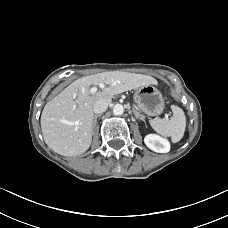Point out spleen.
<instances>
[{
    "mask_svg": "<svg viewBox=\"0 0 228 228\" xmlns=\"http://www.w3.org/2000/svg\"><path fill=\"white\" fill-rule=\"evenodd\" d=\"M173 116L170 119H156L151 122V127L164 137H171L172 142H178L182 139L185 127L186 118L183 110L173 105Z\"/></svg>",
    "mask_w": 228,
    "mask_h": 228,
    "instance_id": "1",
    "label": "spleen"
}]
</instances>
